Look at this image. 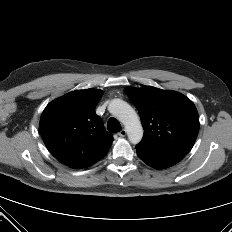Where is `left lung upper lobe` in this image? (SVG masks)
<instances>
[{"label": "left lung upper lobe", "mask_w": 232, "mask_h": 232, "mask_svg": "<svg viewBox=\"0 0 232 232\" xmlns=\"http://www.w3.org/2000/svg\"><path fill=\"white\" fill-rule=\"evenodd\" d=\"M124 92L138 109L144 135L136 146L147 155H186L199 132L198 112L183 94L145 86Z\"/></svg>", "instance_id": "1"}]
</instances>
